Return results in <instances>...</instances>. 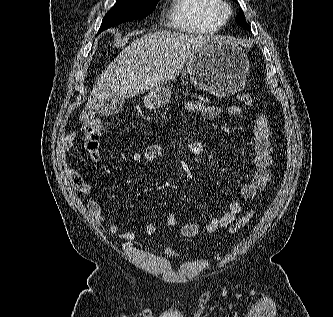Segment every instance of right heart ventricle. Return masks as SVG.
Instances as JSON below:
<instances>
[{
	"label": "right heart ventricle",
	"instance_id": "obj_1",
	"mask_svg": "<svg viewBox=\"0 0 333 317\" xmlns=\"http://www.w3.org/2000/svg\"><path fill=\"white\" fill-rule=\"evenodd\" d=\"M216 0H173L168 10L170 27L184 33L207 35L225 24L215 13Z\"/></svg>",
	"mask_w": 333,
	"mask_h": 317
}]
</instances>
